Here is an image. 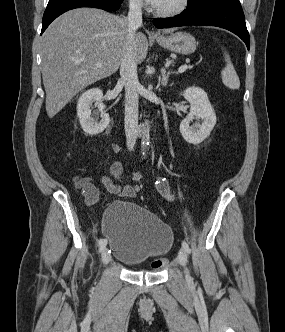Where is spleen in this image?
I'll list each match as a JSON object with an SVG mask.
<instances>
[{
	"instance_id": "3e777b00",
	"label": "spleen",
	"mask_w": 285,
	"mask_h": 332,
	"mask_svg": "<svg viewBox=\"0 0 285 332\" xmlns=\"http://www.w3.org/2000/svg\"><path fill=\"white\" fill-rule=\"evenodd\" d=\"M225 61L227 64L221 72L222 82L229 89H239L240 80L227 53H225Z\"/></svg>"
}]
</instances>
